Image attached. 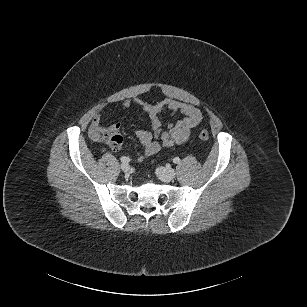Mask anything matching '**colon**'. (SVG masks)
<instances>
[{
    "label": "colon",
    "instance_id": "obj_1",
    "mask_svg": "<svg viewBox=\"0 0 307 307\" xmlns=\"http://www.w3.org/2000/svg\"><path fill=\"white\" fill-rule=\"evenodd\" d=\"M198 137L200 140L202 141H208L209 140V133L207 130L205 129H201L199 130L198 132ZM122 143H123V138L122 136L120 135L119 132H112L110 133L109 135V138H108V144L110 145V147L114 150H118L121 148L122 146Z\"/></svg>",
    "mask_w": 307,
    "mask_h": 307
}]
</instances>
